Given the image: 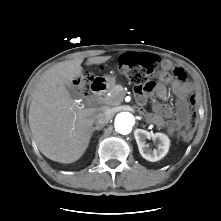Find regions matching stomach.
I'll list each match as a JSON object with an SVG mask.
<instances>
[{
  "instance_id": "1",
  "label": "stomach",
  "mask_w": 221,
  "mask_h": 221,
  "mask_svg": "<svg viewBox=\"0 0 221 221\" xmlns=\"http://www.w3.org/2000/svg\"><path fill=\"white\" fill-rule=\"evenodd\" d=\"M107 83L112 86L115 83V78L114 77H108L107 79Z\"/></svg>"
}]
</instances>
